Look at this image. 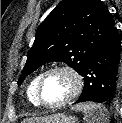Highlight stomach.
I'll return each instance as SVG.
<instances>
[{
  "label": "stomach",
  "mask_w": 122,
  "mask_h": 123,
  "mask_svg": "<svg viewBox=\"0 0 122 123\" xmlns=\"http://www.w3.org/2000/svg\"><path fill=\"white\" fill-rule=\"evenodd\" d=\"M44 123H78V118L59 113L48 116V119Z\"/></svg>",
  "instance_id": "1"
}]
</instances>
